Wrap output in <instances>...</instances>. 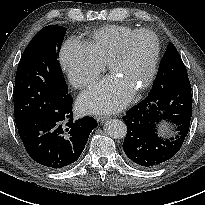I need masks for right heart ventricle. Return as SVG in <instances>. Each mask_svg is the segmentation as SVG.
Returning a JSON list of instances; mask_svg holds the SVG:
<instances>
[{"mask_svg":"<svg viewBox=\"0 0 205 205\" xmlns=\"http://www.w3.org/2000/svg\"><path fill=\"white\" fill-rule=\"evenodd\" d=\"M137 30L125 25H109L90 34L87 46L101 64H107L124 38Z\"/></svg>","mask_w":205,"mask_h":205,"instance_id":"1","label":"right heart ventricle"}]
</instances>
